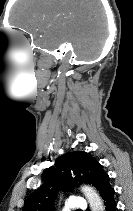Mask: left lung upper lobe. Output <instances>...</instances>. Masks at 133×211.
<instances>
[{
  "mask_svg": "<svg viewBox=\"0 0 133 211\" xmlns=\"http://www.w3.org/2000/svg\"><path fill=\"white\" fill-rule=\"evenodd\" d=\"M45 183L25 201L23 211H54L59 191L68 192L82 183L91 184L100 195L110 187L109 176L89 153L68 152L58 157L55 166L46 169Z\"/></svg>",
  "mask_w": 133,
  "mask_h": 211,
  "instance_id": "5c2ea615",
  "label": "left lung upper lobe"
}]
</instances>
